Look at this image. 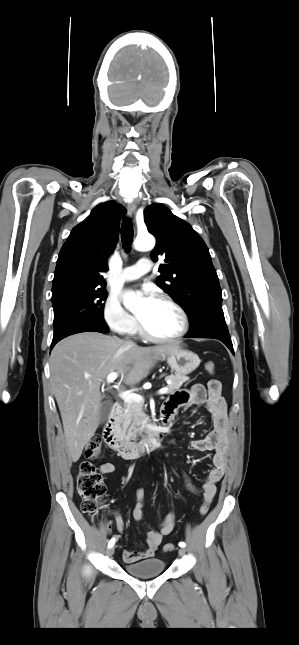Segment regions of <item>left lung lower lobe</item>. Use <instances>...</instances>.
<instances>
[{
	"instance_id": "1",
	"label": "left lung lower lobe",
	"mask_w": 299,
	"mask_h": 645,
	"mask_svg": "<svg viewBox=\"0 0 299 645\" xmlns=\"http://www.w3.org/2000/svg\"><path fill=\"white\" fill-rule=\"evenodd\" d=\"M186 337L215 338L222 341L234 354L231 338L225 322L223 310L215 311L211 324L200 334L188 333Z\"/></svg>"
}]
</instances>
